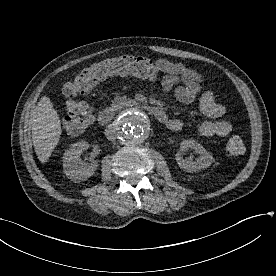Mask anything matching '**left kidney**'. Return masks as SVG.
<instances>
[{
	"label": "left kidney",
	"instance_id": "1",
	"mask_svg": "<svg viewBox=\"0 0 276 276\" xmlns=\"http://www.w3.org/2000/svg\"><path fill=\"white\" fill-rule=\"evenodd\" d=\"M193 150L200 156L196 161L186 160L183 158L184 152ZM176 161L178 166L187 172H196L211 166L214 162L212 155L205 150V148L192 139L183 140L180 143V151L176 154Z\"/></svg>",
	"mask_w": 276,
	"mask_h": 276
}]
</instances>
